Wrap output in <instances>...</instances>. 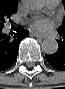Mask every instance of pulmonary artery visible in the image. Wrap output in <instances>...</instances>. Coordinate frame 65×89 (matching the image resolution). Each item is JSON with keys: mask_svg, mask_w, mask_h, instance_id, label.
<instances>
[{"mask_svg": "<svg viewBox=\"0 0 65 89\" xmlns=\"http://www.w3.org/2000/svg\"><path fill=\"white\" fill-rule=\"evenodd\" d=\"M58 0H46L45 4L46 6H48L49 8H54L58 5Z\"/></svg>", "mask_w": 65, "mask_h": 89, "instance_id": "obj_1", "label": "pulmonary artery"}]
</instances>
